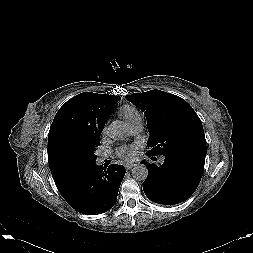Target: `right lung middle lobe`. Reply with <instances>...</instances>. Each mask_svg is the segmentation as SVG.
Here are the masks:
<instances>
[{"mask_svg":"<svg viewBox=\"0 0 253 253\" xmlns=\"http://www.w3.org/2000/svg\"><path fill=\"white\" fill-rule=\"evenodd\" d=\"M97 146L99 144L85 149H72L68 151L61 161V168L67 172L96 162L95 149Z\"/></svg>","mask_w":253,"mask_h":253,"instance_id":"dd1d6c3e","label":"right lung middle lobe"}]
</instances>
